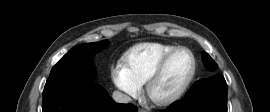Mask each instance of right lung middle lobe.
Instances as JSON below:
<instances>
[{
  "label": "right lung middle lobe",
  "mask_w": 270,
  "mask_h": 112,
  "mask_svg": "<svg viewBox=\"0 0 270 112\" xmlns=\"http://www.w3.org/2000/svg\"><path fill=\"white\" fill-rule=\"evenodd\" d=\"M108 44L107 40L75 46L53 67L47 82H91L95 71L91 57Z\"/></svg>",
  "instance_id": "obj_1"
}]
</instances>
